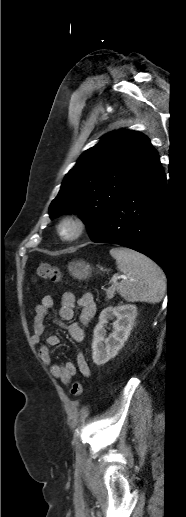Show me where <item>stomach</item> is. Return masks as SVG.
<instances>
[{
	"instance_id": "obj_1",
	"label": "stomach",
	"mask_w": 186,
	"mask_h": 517,
	"mask_svg": "<svg viewBox=\"0 0 186 517\" xmlns=\"http://www.w3.org/2000/svg\"><path fill=\"white\" fill-rule=\"evenodd\" d=\"M68 270L74 278L83 280L91 276L93 268L84 261H74L69 264Z\"/></svg>"
}]
</instances>
